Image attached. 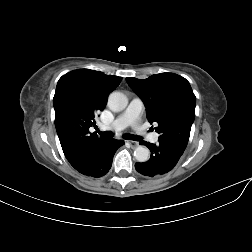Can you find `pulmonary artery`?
<instances>
[{
    "label": "pulmonary artery",
    "instance_id": "pulmonary-artery-1",
    "mask_svg": "<svg viewBox=\"0 0 252 252\" xmlns=\"http://www.w3.org/2000/svg\"><path fill=\"white\" fill-rule=\"evenodd\" d=\"M143 109V102L139 98H133L125 111L120 114L115 121L110 125H101L102 130H121L129 125L137 126L136 121L140 116ZM139 130V127H137ZM151 140L156 142L158 140V135L156 133L151 135Z\"/></svg>",
    "mask_w": 252,
    "mask_h": 252
}]
</instances>
